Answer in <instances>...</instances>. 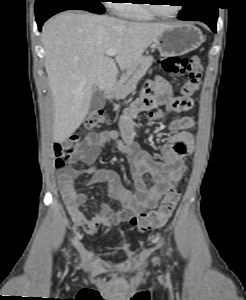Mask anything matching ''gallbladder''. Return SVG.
<instances>
[{"instance_id":"bac80fb5","label":"gallbladder","mask_w":246,"mask_h":300,"mask_svg":"<svg viewBox=\"0 0 246 300\" xmlns=\"http://www.w3.org/2000/svg\"><path fill=\"white\" fill-rule=\"evenodd\" d=\"M105 105V96L103 92L97 87L93 86V93L91 97V102H90V111L94 112Z\"/></svg>"}]
</instances>
